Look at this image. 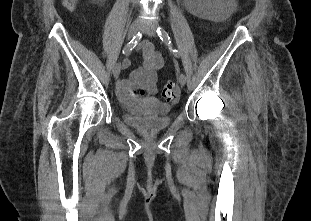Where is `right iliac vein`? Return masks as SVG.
I'll list each match as a JSON object with an SVG mask.
<instances>
[{
    "label": "right iliac vein",
    "mask_w": 311,
    "mask_h": 221,
    "mask_svg": "<svg viewBox=\"0 0 311 221\" xmlns=\"http://www.w3.org/2000/svg\"><path fill=\"white\" fill-rule=\"evenodd\" d=\"M142 24L139 21H135L133 22L128 30V39H131L133 36H135L137 34V32L139 31V29L141 28ZM121 72V66L118 63L114 70H113V75L115 77V79H117L120 75Z\"/></svg>",
    "instance_id": "1"
}]
</instances>
